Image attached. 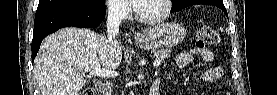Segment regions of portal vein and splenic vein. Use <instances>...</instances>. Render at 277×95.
<instances>
[{"instance_id":"1","label":"portal vein and splenic vein","mask_w":277,"mask_h":95,"mask_svg":"<svg viewBox=\"0 0 277 95\" xmlns=\"http://www.w3.org/2000/svg\"><path fill=\"white\" fill-rule=\"evenodd\" d=\"M160 64H161L160 59H156L153 62L154 66H160ZM89 76L114 77V76H117V73L101 67H95L94 70L89 72Z\"/></svg>"}]
</instances>
